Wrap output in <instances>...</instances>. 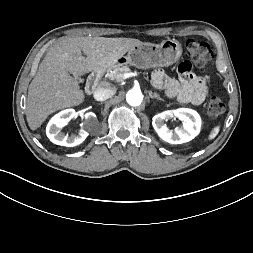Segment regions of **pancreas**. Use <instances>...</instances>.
<instances>
[{
    "label": "pancreas",
    "mask_w": 253,
    "mask_h": 253,
    "mask_svg": "<svg viewBox=\"0 0 253 253\" xmlns=\"http://www.w3.org/2000/svg\"><path fill=\"white\" fill-rule=\"evenodd\" d=\"M129 71H130V68L128 66H123V67L113 66L111 67V73L108 75V77L111 80L121 81L122 80L121 75Z\"/></svg>",
    "instance_id": "1"
}]
</instances>
